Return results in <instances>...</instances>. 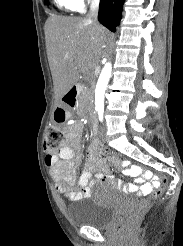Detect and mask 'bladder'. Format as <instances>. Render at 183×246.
<instances>
[{"mask_svg": "<svg viewBox=\"0 0 183 246\" xmlns=\"http://www.w3.org/2000/svg\"><path fill=\"white\" fill-rule=\"evenodd\" d=\"M117 205L118 199L114 190L100 183L84 198L83 203L70 207L67 216L69 221L78 227H106L111 223Z\"/></svg>", "mask_w": 183, "mask_h": 246, "instance_id": "1", "label": "bladder"}]
</instances>
